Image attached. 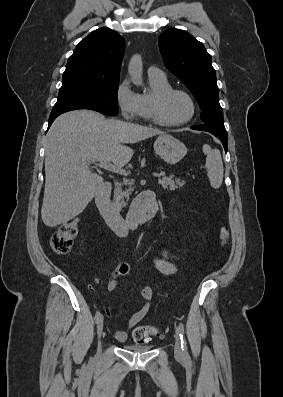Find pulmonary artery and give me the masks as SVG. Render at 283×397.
<instances>
[{
	"instance_id": "e3ab8cb5",
	"label": "pulmonary artery",
	"mask_w": 283,
	"mask_h": 397,
	"mask_svg": "<svg viewBox=\"0 0 283 397\" xmlns=\"http://www.w3.org/2000/svg\"><path fill=\"white\" fill-rule=\"evenodd\" d=\"M148 76H153V77H164L165 74H164V72H163L161 69H159V68H157V67H150V68L148 69Z\"/></svg>"
}]
</instances>
